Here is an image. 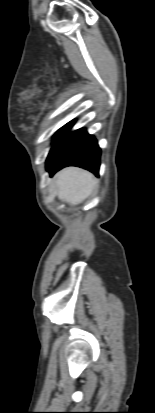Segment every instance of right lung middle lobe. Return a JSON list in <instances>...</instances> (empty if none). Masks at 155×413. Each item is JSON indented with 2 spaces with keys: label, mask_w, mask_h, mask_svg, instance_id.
<instances>
[{
  "label": "right lung middle lobe",
  "mask_w": 155,
  "mask_h": 413,
  "mask_svg": "<svg viewBox=\"0 0 155 413\" xmlns=\"http://www.w3.org/2000/svg\"><path fill=\"white\" fill-rule=\"evenodd\" d=\"M72 122L67 123L65 126H63L61 129H59L55 135L53 146L50 150L49 155L52 153V151L57 147V145L60 143V141L63 139L65 133L69 129L70 125Z\"/></svg>",
  "instance_id": "obj_1"
}]
</instances>
